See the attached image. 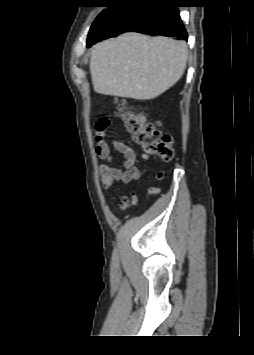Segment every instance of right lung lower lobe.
<instances>
[{
	"label": "right lung lower lobe",
	"instance_id": "98d812e1",
	"mask_svg": "<svg viewBox=\"0 0 254 355\" xmlns=\"http://www.w3.org/2000/svg\"><path fill=\"white\" fill-rule=\"evenodd\" d=\"M176 6L173 0H139L120 4L87 47L127 31L187 40Z\"/></svg>",
	"mask_w": 254,
	"mask_h": 355
}]
</instances>
